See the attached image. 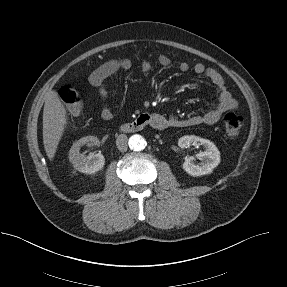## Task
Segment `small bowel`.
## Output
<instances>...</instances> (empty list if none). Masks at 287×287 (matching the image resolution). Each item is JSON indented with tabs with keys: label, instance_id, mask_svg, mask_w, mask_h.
<instances>
[{
	"label": "small bowel",
	"instance_id": "c3829d8e",
	"mask_svg": "<svg viewBox=\"0 0 287 287\" xmlns=\"http://www.w3.org/2000/svg\"><path fill=\"white\" fill-rule=\"evenodd\" d=\"M157 62L163 67H169L172 64L171 58L165 54L159 55ZM131 67L132 61L130 59L116 58L104 62L89 75V83L98 89L99 96L103 102L100 113L103 120L108 121L113 118L112 110L107 102L108 91L105 85L106 80L119 71L130 70ZM141 69L143 72L150 71L151 63L148 60L143 59L141 61ZM191 69L196 74L205 76L215 85L218 92L217 102L203 114L191 115L184 118L153 114L159 120L158 129L192 127L200 124H215L225 112L237 109L238 102L228 90L222 75L215 68L207 67L203 63H196L192 67L186 61L179 63V70L181 72H188Z\"/></svg>",
	"mask_w": 287,
	"mask_h": 287
}]
</instances>
